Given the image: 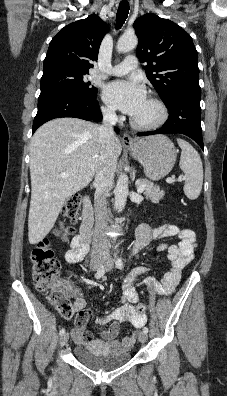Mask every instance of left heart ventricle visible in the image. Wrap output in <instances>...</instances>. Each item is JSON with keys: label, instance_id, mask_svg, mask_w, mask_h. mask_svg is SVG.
I'll list each match as a JSON object with an SVG mask.
<instances>
[{"label": "left heart ventricle", "instance_id": "left-heart-ventricle-1", "mask_svg": "<svg viewBox=\"0 0 227 396\" xmlns=\"http://www.w3.org/2000/svg\"><path fill=\"white\" fill-rule=\"evenodd\" d=\"M158 116L159 111L157 107L147 100L144 106L136 115L133 116V118L142 123H149L156 120Z\"/></svg>", "mask_w": 227, "mask_h": 396}]
</instances>
